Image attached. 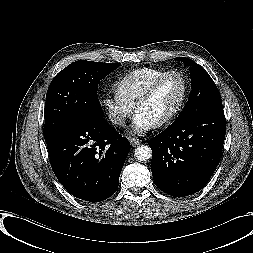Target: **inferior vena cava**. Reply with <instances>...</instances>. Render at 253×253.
<instances>
[{"mask_svg": "<svg viewBox=\"0 0 253 253\" xmlns=\"http://www.w3.org/2000/svg\"><path fill=\"white\" fill-rule=\"evenodd\" d=\"M115 123L119 124V125H124L125 123V119L122 117H119L115 120Z\"/></svg>", "mask_w": 253, "mask_h": 253, "instance_id": "602c4592", "label": "inferior vena cava"}]
</instances>
